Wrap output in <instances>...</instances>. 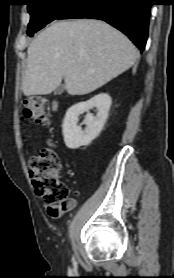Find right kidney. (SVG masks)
<instances>
[{
    "label": "right kidney",
    "mask_w": 174,
    "mask_h": 278,
    "mask_svg": "<svg viewBox=\"0 0 174 278\" xmlns=\"http://www.w3.org/2000/svg\"><path fill=\"white\" fill-rule=\"evenodd\" d=\"M111 106V98L106 93H100L86 102H80L70 107L65 115L62 132L65 145L70 149H78L89 145L101 132ZM97 108L96 116L89 113L90 109ZM87 112L84 124L85 130L77 125L80 114Z\"/></svg>",
    "instance_id": "ca27d5eb"
}]
</instances>
